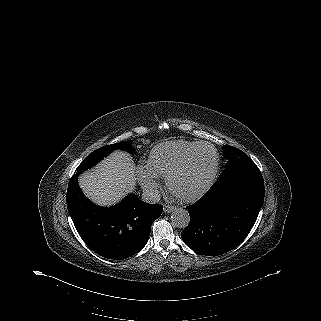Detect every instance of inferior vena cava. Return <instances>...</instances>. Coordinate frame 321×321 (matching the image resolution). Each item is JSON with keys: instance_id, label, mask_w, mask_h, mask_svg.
Listing matches in <instances>:
<instances>
[{"instance_id": "602c4592", "label": "inferior vena cava", "mask_w": 321, "mask_h": 321, "mask_svg": "<svg viewBox=\"0 0 321 321\" xmlns=\"http://www.w3.org/2000/svg\"><path fill=\"white\" fill-rule=\"evenodd\" d=\"M160 198V192L155 188L147 187L143 190L142 200L146 203H158L160 201Z\"/></svg>"}]
</instances>
